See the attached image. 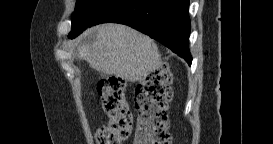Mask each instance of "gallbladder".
<instances>
[{
	"mask_svg": "<svg viewBox=\"0 0 273 144\" xmlns=\"http://www.w3.org/2000/svg\"><path fill=\"white\" fill-rule=\"evenodd\" d=\"M101 78L104 80L106 77L103 75Z\"/></svg>",
	"mask_w": 273,
	"mask_h": 144,
	"instance_id": "obj_1",
	"label": "gallbladder"
}]
</instances>
